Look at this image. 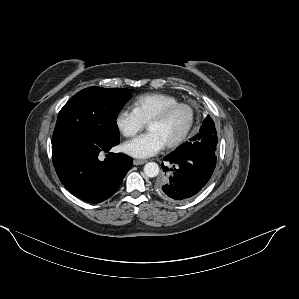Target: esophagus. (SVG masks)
Returning a JSON list of instances; mask_svg holds the SVG:
<instances>
[{
  "label": "esophagus",
  "instance_id": "34e87169",
  "mask_svg": "<svg viewBox=\"0 0 299 299\" xmlns=\"http://www.w3.org/2000/svg\"><path fill=\"white\" fill-rule=\"evenodd\" d=\"M147 162V160H140V159H135V160H133V164L134 165H143V164H145Z\"/></svg>",
  "mask_w": 299,
  "mask_h": 299
}]
</instances>
